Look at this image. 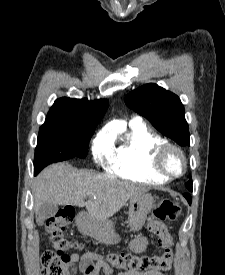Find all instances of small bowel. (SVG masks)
Listing matches in <instances>:
<instances>
[{
  "mask_svg": "<svg viewBox=\"0 0 225 275\" xmlns=\"http://www.w3.org/2000/svg\"><path fill=\"white\" fill-rule=\"evenodd\" d=\"M149 246V240L145 236H138L130 243V249L134 253H142ZM70 259L78 263L79 269L85 275H164L162 272H137L123 271L115 273L114 269L105 261L102 254L88 250L83 254L76 252L70 255Z\"/></svg>",
  "mask_w": 225,
  "mask_h": 275,
  "instance_id": "small-bowel-1",
  "label": "small bowel"
}]
</instances>
